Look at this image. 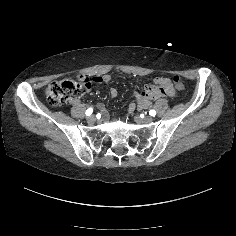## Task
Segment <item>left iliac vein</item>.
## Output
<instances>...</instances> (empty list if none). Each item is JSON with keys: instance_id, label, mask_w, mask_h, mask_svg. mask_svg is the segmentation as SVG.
<instances>
[{"instance_id": "4c4485c4", "label": "left iliac vein", "mask_w": 236, "mask_h": 236, "mask_svg": "<svg viewBox=\"0 0 236 236\" xmlns=\"http://www.w3.org/2000/svg\"><path fill=\"white\" fill-rule=\"evenodd\" d=\"M135 120L136 121H142V122H145V123H151L153 121V118L151 116H145L143 118H141L139 116H136Z\"/></svg>"}]
</instances>
